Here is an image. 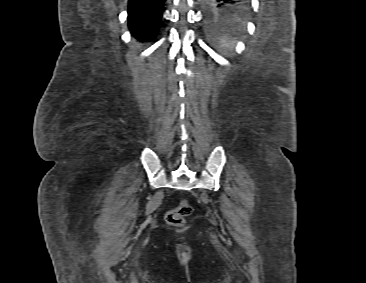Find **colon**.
Instances as JSON below:
<instances>
[{
  "label": "colon",
  "mask_w": 366,
  "mask_h": 283,
  "mask_svg": "<svg viewBox=\"0 0 366 283\" xmlns=\"http://www.w3.org/2000/svg\"><path fill=\"white\" fill-rule=\"evenodd\" d=\"M192 212L193 208L190 203L183 199L176 207L167 212L166 221L172 226L182 227L186 223V217L191 215Z\"/></svg>",
  "instance_id": "5ec220e1"
}]
</instances>
